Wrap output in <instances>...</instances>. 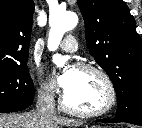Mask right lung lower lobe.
<instances>
[{"label":"right lung lower lobe","instance_id":"right-lung-lower-lobe-1","mask_svg":"<svg viewBox=\"0 0 142 128\" xmlns=\"http://www.w3.org/2000/svg\"><path fill=\"white\" fill-rule=\"evenodd\" d=\"M27 108L26 106L16 105V104H1L0 113L6 112H17Z\"/></svg>","mask_w":142,"mask_h":128}]
</instances>
